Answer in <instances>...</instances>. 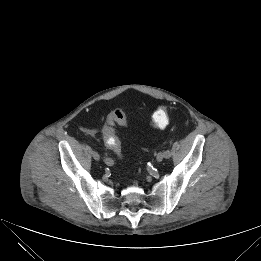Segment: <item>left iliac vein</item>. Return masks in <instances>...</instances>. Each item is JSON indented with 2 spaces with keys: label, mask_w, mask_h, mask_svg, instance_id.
Instances as JSON below:
<instances>
[{
  "label": "left iliac vein",
  "mask_w": 261,
  "mask_h": 261,
  "mask_svg": "<svg viewBox=\"0 0 261 261\" xmlns=\"http://www.w3.org/2000/svg\"><path fill=\"white\" fill-rule=\"evenodd\" d=\"M163 159H164V154H163V152H159V153L157 154V157H156L157 162H161Z\"/></svg>",
  "instance_id": "4c4485c4"
}]
</instances>
